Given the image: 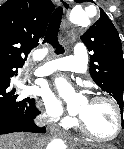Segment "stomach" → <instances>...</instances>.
Here are the masks:
<instances>
[{"instance_id":"0dacf381","label":"stomach","mask_w":124,"mask_h":149,"mask_svg":"<svg viewBox=\"0 0 124 149\" xmlns=\"http://www.w3.org/2000/svg\"><path fill=\"white\" fill-rule=\"evenodd\" d=\"M89 149H92V148H89ZM93 149H109V148H106V147H99V148H93Z\"/></svg>"}]
</instances>
